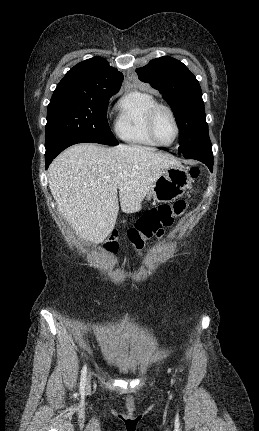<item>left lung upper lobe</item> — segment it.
<instances>
[{
    "instance_id": "1",
    "label": "left lung upper lobe",
    "mask_w": 259,
    "mask_h": 431,
    "mask_svg": "<svg viewBox=\"0 0 259 431\" xmlns=\"http://www.w3.org/2000/svg\"><path fill=\"white\" fill-rule=\"evenodd\" d=\"M136 73L141 81L158 89L172 108L180 131L178 154L212 150L201 87L191 71L179 60L164 56Z\"/></svg>"
}]
</instances>
